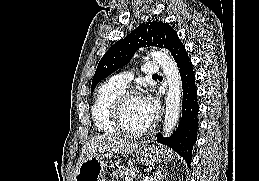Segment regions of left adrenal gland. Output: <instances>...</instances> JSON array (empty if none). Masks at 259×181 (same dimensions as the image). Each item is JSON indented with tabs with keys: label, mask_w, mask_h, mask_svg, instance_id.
Wrapping results in <instances>:
<instances>
[{
	"label": "left adrenal gland",
	"mask_w": 259,
	"mask_h": 181,
	"mask_svg": "<svg viewBox=\"0 0 259 181\" xmlns=\"http://www.w3.org/2000/svg\"><path fill=\"white\" fill-rule=\"evenodd\" d=\"M165 175L166 172L164 170L157 169V171L149 177L148 181H163Z\"/></svg>",
	"instance_id": "obj_1"
}]
</instances>
